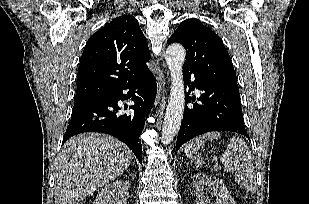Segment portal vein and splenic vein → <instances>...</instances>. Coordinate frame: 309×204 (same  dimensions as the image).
<instances>
[{"label": "portal vein and splenic vein", "mask_w": 309, "mask_h": 204, "mask_svg": "<svg viewBox=\"0 0 309 204\" xmlns=\"http://www.w3.org/2000/svg\"><path fill=\"white\" fill-rule=\"evenodd\" d=\"M217 166H218V163H216V165L214 166V168H217Z\"/></svg>", "instance_id": "portal-vein-and-splenic-vein-1"}]
</instances>
